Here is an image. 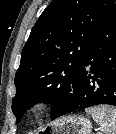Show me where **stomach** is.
Instances as JSON below:
<instances>
[{"mask_svg": "<svg viewBox=\"0 0 116 134\" xmlns=\"http://www.w3.org/2000/svg\"><path fill=\"white\" fill-rule=\"evenodd\" d=\"M91 122L79 115H70L47 124L38 134H90Z\"/></svg>", "mask_w": 116, "mask_h": 134, "instance_id": "stomach-1", "label": "stomach"}]
</instances>
